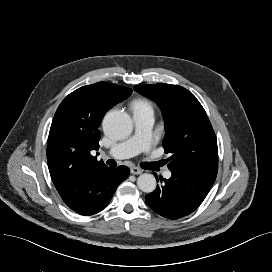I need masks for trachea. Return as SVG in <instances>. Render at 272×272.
Here are the masks:
<instances>
[{
  "label": "trachea",
  "instance_id": "1",
  "mask_svg": "<svg viewBox=\"0 0 272 272\" xmlns=\"http://www.w3.org/2000/svg\"><path fill=\"white\" fill-rule=\"evenodd\" d=\"M107 164L110 166H116V162L113 159L107 160Z\"/></svg>",
  "mask_w": 272,
  "mask_h": 272
}]
</instances>
